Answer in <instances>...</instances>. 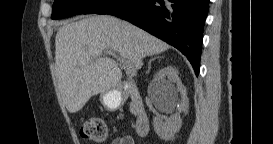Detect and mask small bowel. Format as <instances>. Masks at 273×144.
<instances>
[{"instance_id":"c3829d8e","label":"small bowel","mask_w":273,"mask_h":144,"mask_svg":"<svg viewBox=\"0 0 273 144\" xmlns=\"http://www.w3.org/2000/svg\"><path fill=\"white\" fill-rule=\"evenodd\" d=\"M132 140L129 136L117 137L112 141V144H130Z\"/></svg>"}]
</instances>
